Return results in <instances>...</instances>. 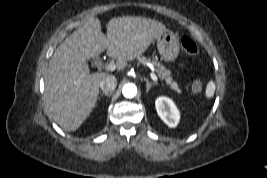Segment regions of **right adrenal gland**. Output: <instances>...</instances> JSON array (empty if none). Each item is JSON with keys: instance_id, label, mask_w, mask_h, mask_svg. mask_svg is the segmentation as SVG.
I'll use <instances>...</instances> for the list:
<instances>
[{"instance_id": "2a0ac1e0", "label": "right adrenal gland", "mask_w": 267, "mask_h": 178, "mask_svg": "<svg viewBox=\"0 0 267 178\" xmlns=\"http://www.w3.org/2000/svg\"><path fill=\"white\" fill-rule=\"evenodd\" d=\"M112 93H106V92H103L102 95H105L107 97H110Z\"/></svg>"}]
</instances>
